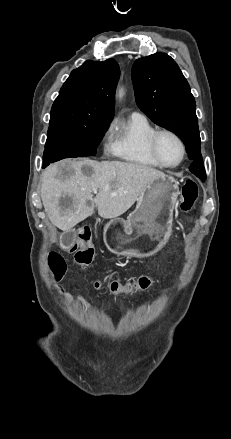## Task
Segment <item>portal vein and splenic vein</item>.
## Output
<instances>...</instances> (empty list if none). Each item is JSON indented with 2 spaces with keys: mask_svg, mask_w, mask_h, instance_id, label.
Returning <instances> with one entry per match:
<instances>
[{
  "mask_svg": "<svg viewBox=\"0 0 231 439\" xmlns=\"http://www.w3.org/2000/svg\"><path fill=\"white\" fill-rule=\"evenodd\" d=\"M92 191H93L94 193H97L98 190H97L96 188H93Z\"/></svg>",
  "mask_w": 231,
  "mask_h": 439,
  "instance_id": "18ae733b",
  "label": "portal vein and splenic vein"
}]
</instances>
